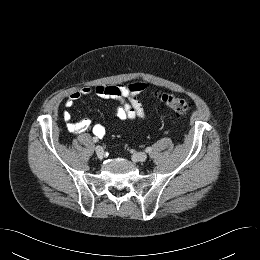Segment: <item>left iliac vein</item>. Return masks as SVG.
I'll use <instances>...</instances> for the list:
<instances>
[{"mask_svg":"<svg viewBox=\"0 0 260 260\" xmlns=\"http://www.w3.org/2000/svg\"><path fill=\"white\" fill-rule=\"evenodd\" d=\"M147 159V154L144 152L136 153L132 156L134 162H144Z\"/></svg>","mask_w":260,"mask_h":260,"instance_id":"left-iliac-vein-1","label":"left iliac vein"}]
</instances>
